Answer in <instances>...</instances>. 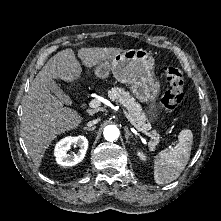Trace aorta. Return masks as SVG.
Returning a JSON list of instances; mask_svg holds the SVG:
<instances>
[{"mask_svg": "<svg viewBox=\"0 0 221 221\" xmlns=\"http://www.w3.org/2000/svg\"><path fill=\"white\" fill-rule=\"evenodd\" d=\"M119 129L115 125H108L104 128L103 135L107 141H115L119 137Z\"/></svg>", "mask_w": 221, "mask_h": 221, "instance_id": "obj_1", "label": "aorta"}]
</instances>
